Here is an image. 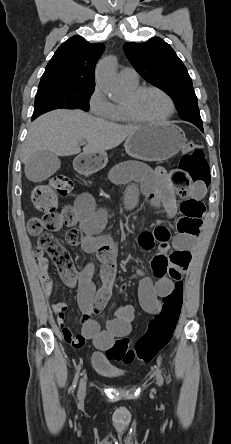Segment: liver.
<instances>
[{
  "label": "liver",
  "mask_w": 231,
  "mask_h": 444,
  "mask_svg": "<svg viewBox=\"0 0 231 444\" xmlns=\"http://www.w3.org/2000/svg\"><path fill=\"white\" fill-rule=\"evenodd\" d=\"M139 128L107 122L81 110H54L31 124L22 147V161L26 163L37 151H50L57 156L79 154L82 140L87 141L82 154L105 153Z\"/></svg>",
  "instance_id": "1"
}]
</instances>
